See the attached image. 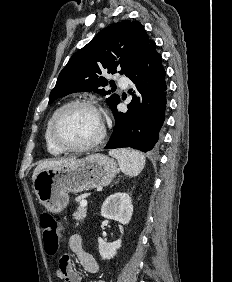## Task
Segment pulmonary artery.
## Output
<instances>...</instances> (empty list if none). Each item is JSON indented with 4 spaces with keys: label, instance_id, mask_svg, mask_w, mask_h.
<instances>
[{
    "label": "pulmonary artery",
    "instance_id": "obj_1",
    "mask_svg": "<svg viewBox=\"0 0 232 282\" xmlns=\"http://www.w3.org/2000/svg\"><path fill=\"white\" fill-rule=\"evenodd\" d=\"M117 83H118V85H119L120 87H122V88H126L127 85H128V81H127V79L124 78V77H119V78L117 79Z\"/></svg>",
    "mask_w": 232,
    "mask_h": 282
}]
</instances>
